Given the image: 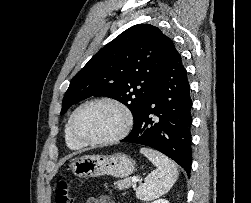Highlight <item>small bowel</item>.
<instances>
[{
  "label": "small bowel",
  "instance_id": "small-bowel-1",
  "mask_svg": "<svg viewBox=\"0 0 251 203\" xmlns=\"http://www.w3.org/2000/svg\"><path fill=\"white\" fill-rule=\"evenodd\" d=\"M86 203H116V202L107 196H100L97 198H90L86 201Z\"/></svg>",
  "mask_w": 251,
  "mask_h": 203
}]
</instances>
